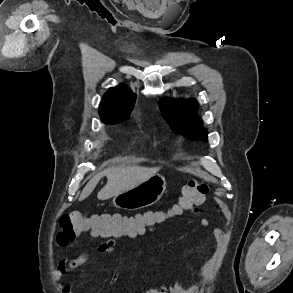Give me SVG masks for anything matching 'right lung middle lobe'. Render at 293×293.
Returning <instances> with one entry per match:
<instances>
[{
	"instance_id": "obj_1",
	"label": "right lung middle lobe",
	"mask_w": 293,
	"mask_h": 293,
	"mask_svg": "<svg viewBox=\"0 0 293 293\" xmlns=\"http://www.w3.org/2000/svg\"><path fill=\"white\" fill-rule=\"evenodd\" d=\"M129 116H119V117H111V118H107V119H102L103 122L108 123V124H116V123H120L123 120L128 119Z\"/></svg>"
}]
</instances>
